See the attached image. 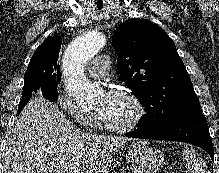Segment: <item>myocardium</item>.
Listing matches in <instances>:
<instances>
[{"label":"myocardium","mask_w":219,"mask_h":173,"mask_svg":"<svg viewBox=\"0 0 219 173\" xmlns=\"http://www.w3.org/2000/svg\"><path fill=\"white\" fill-rule=\"evenodd\" d=\"M114 93H118V94L125 96L132 103V105L134 106V110H135L134 116L129 122L123 125H113V124L107 123L101 117L100 118L101 124L106 130L110 132H114V133L131 132L135 130L140 125L141 121L143 120L144 115H145V107L142 101L140 100V98L129 88L118 87L114 90Z\"/></svg>","instance_id":"myocardium-1"}]
</instances>
